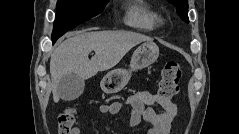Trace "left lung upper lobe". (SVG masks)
<instances>
[{"label":"left lung upper lobe","mask_w":239,"mask_h":134,"mask_svg":"<svg viewBox=\"0 0 239 134\" xmlns=\"http://www.w3.org/2000/svg\"><path fill=\"white\" fill-rule=\"evenodd\" d=\"M172 5L177 7V14L180 18L185 21L189 22L187 10H188V1L187 0H168Z\"/></svg>","instance_id":"left-lung-upper-lobe-1"}]
</instances>
